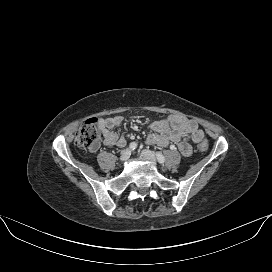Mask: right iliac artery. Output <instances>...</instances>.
I'll return each mask as SVG.
<instances>
[{"label": "right iliac artery", "mask_w": 272, "mask_h": 272, "mask_svg": "<svg viewBox=\"0 0 272 272\" xmlns=\"http://www.w3.org/2000/svg\"><path fill=\"white\" fill-rule=\"evenodd\" d=\"M129 148L131 150H135L137 148V143L136 142H131L130 145H129Z\"/></svg>", "instance_id": "right-iliac-artery-1"}]
</instances>
